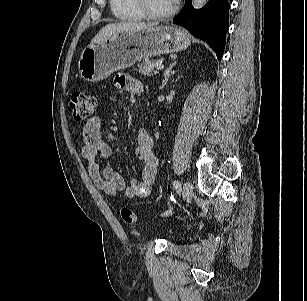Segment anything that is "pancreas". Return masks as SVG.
Masks as SVG:
<instances>
[{
	"instance_id": "cf45deb5",
	"label": "pancreas",
	"mask_w": 307,
	"mask_h": 301,
	"mask_svg": "<svg viewBox=\"0 0 307 301\" xmlns=\"http://www.w3.org/2000/svg\"><path fill=\"white\" fill-rule=\"evenodd\" d=\"M155 63L149 61V59L145 58V61L141 64H138L136 68L142 75L152 76L153 74H157L158 72L154 70Z\"/></svg>"
}]
</instances>
